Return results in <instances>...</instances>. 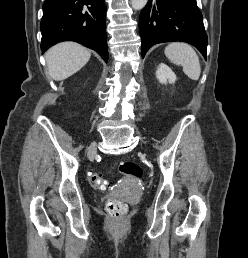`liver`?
Instances as JSON below:
<instances>
[{"label": "liver", "mask_w": 248, "mask_h": 258, "mask_svg": "<svg viewBox=\"0 0 248 258\" xmlns=\"http://www.w3.org/2000/svg\"><path fill=\"white\" fill-rule=\"evenodd\" d=\"M91 53L85 47L73 43H59L45 53L48 71L55 81L64 80L86 65Z\"/></svg>", "instance_id": "liver-1"}]
</instances>
